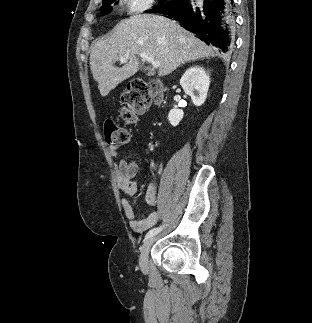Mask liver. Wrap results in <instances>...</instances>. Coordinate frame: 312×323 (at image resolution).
<instances>
[{"label": "liver", "instance_id": "6515ba94", "mask_svg": "<svg viewBox=\"0 0 312 323\" xmlns=\"http://www.w3.org/2000/svg\"><path fill=\"white\" fill-rule=\"evenodd\" d=\"M141 52H146L152 62H159L158 76H168L180 64L214 56L215 48L164 16L139 14L121 20L113 34L97 40L91 50L90 70L101 96H108L118 84L136 74ZM124 56L129 60L116 68L115 62Z\"/></svg>", "mask_w": 312, "mask_h": 323}]
</instances>
